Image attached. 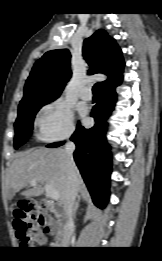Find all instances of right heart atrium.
<instances>
[{"label":"right heart atrium","mask_w":162,"mask_h":261,"mask_svg":"<svg viewBox=\"0 0 162 261\" xmlns=\"http://www.w3.org/2000/svg\"><path fill=\"white\" fill-rule=\"evenodd\" d=\"M40 137L48 141L68 138L74 131V116L62 99H54L42 110L38 118Z\"/></svg>","instance_id":"obj_1"}]
</instances>
